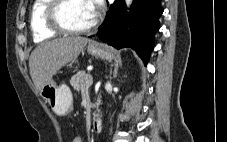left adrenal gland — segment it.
Instances as JSON below:
<instances>
[{
  "instance_id": "obj_1",
  "label": "left adrenal gland",
  "mask_w": 227,
  "mask_h": 142,
  "mask_svg": "<svg viewBox=\"0 0 227 142\" xmlns=\"http://www.w3.org/2000/svg\"><path fill=\"white\" fill-rule=\"evenodd\" d=\"M117 76V69L115 70V73H114V77H116Z\"/></svg>"
}]
</instances>
